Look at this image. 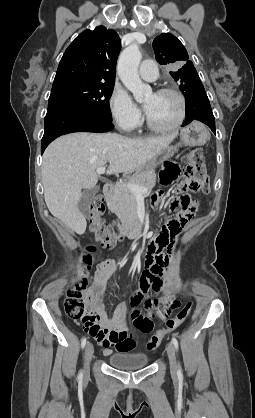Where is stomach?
<instances>
[{
    "instance_id": "obj_1",
    "label": "stomach",
    "mask_w": 255,
    "mask_h": 418,
    "mask_svg": "<svg viewBox=\"0 0 255 418\" xmlns=\"http://www.w3.org/2000/svg\"><path fill=\"white\" fill-rule=\"evenodd\" d=\"M209 138L208 130L204 125L199 122H193L192 124L184 127L180 131V144L201 146L206 143ZM177 150V146H169L157 155H155L146 165L140 168L138 171L154 169L158 165L163 164L170 159Z\"/></svg>"
}]
</instances>
